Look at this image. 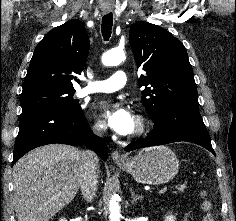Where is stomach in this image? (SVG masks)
I'll return each mask as SVG.
<instances>
[{"label":"stomach","instance_id":"stomach-1","mask_svg":"<svg viewBox=\"0 0 236 221\" xmlns=\"http://www.w3.org/2000/svg\"><path fill=\"white\" fill-rule=\"evenodd\" d=\"M118 166L131 174L137 182L159 185L175 177L179 170V160L168 147L153 146L140 150Z\"/></svg>","mask_w":236,"mask_h":221}]
</instances>
